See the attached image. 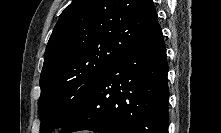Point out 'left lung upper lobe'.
I'll list each match as a JSON object with an SVG mask.
<instances>
[{
    "label": "left lung upper lobe",
    "mask_w": 221,
    "mask_h": 133,
    "mask_svg": "<svg viewBox=\"0 0 221 133\" xmlns=\"http://www.w3.org/2000/svg\"><path fill=\"white\" fill-rule=\"evenodd\" d=\"M157 23L152 0H73L61 13L40 76V133L64 128L106 69Z\"/></svg>",
    "instance_id": "5c2ea615"
}]
</instances>
